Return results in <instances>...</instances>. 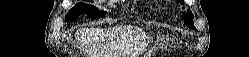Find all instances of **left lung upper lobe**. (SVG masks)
Here are the masks:
<instances>
[{
  "label": "left lung upper lobe",
  "mask_w": 249,
  "mask_h": 57,
  "mask_svg": "<svg viewBox=\"0 0 249 57\" xmlns=\"http://www.w3.org/2000/svg\"><path fill=\"white\" fill-rule=\"evenodd\" d=\"M180 3H184L183 0H178ZM182 18L184 22L191 28L195 29L194 22H193V14L190 10L187 11V13L182 14Z\"/></svg>",
  "instance_id": "1"
}]
</instances>
